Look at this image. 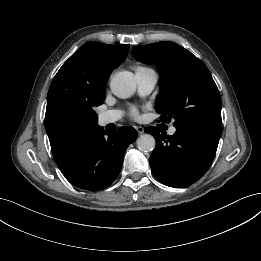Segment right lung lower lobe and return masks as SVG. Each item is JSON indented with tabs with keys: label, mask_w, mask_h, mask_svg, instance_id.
Masks as SVG:
<instances>
[{
	"label": "right lung lower lobe",
	"mask_w": 261,
	"mask_h": 261,
	"mask_svg": "<svg viewBox=\"0 0 261 261\" xmlns=\"http://www.w3.org/2000/svg\"><path fill=\"white\" fill-rule=\"evenodd\" d=\"M137 138L130 126L115 132L96 129L59 169L74 186L98 191L108 187L119 175L124 153Z\"/></svg>",
	"instance_id": "obj_1"
}]
</instances>
